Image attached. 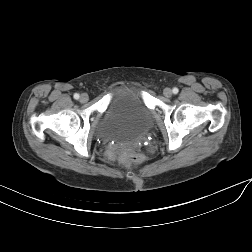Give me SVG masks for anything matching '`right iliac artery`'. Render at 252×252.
I'll return each instance as SVG.
<instances>
[{"mask_svg": "<svg viewBox=\"0 0 252 252\" xmlns=\"http://www.w3.org/2000/svg\"><path fill=\"white\" fill-rule=\"evenodd\" d=\"M79 97H80L79 94H77V93L74 94L75 99H79Z\"/></svg>", "mask_w": 252, "mask_h": 252, "instance_id": "1", "label": "right iliac artery"}]
</instances>
